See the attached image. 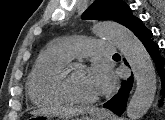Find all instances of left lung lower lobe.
<instances>
[{
    "instance_id": "left-lung-lower-lobe-1",
    "label": "left lung lower lobe",
    "mask_w": 165,
    "mask_h": 120,
    "mask_svg": "<svg viewBox=\"0 0 165 120\" xmlns=\"http://www.w3.org/2000/svg\"><path fill=\"white\" fill-rule=\"evenodd\" d=\"M130 30L143 43L150 56L153 58L157 71L162 79L163 94L165 96V59L160 55L158 44L152 40V32L143 24L139 18L133 22ZM132 85L133 76H130L127 81H122L119 92L108 102H106L103 107L111 110L117 115L123 114L126 107L128 94L132 88Z\"/></svg>"
}]
</instances>
